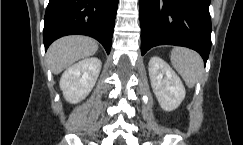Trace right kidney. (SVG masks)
<instances>
[{
    "instance_id": "ca27d5eb",
    "label": "right kidney",
    "mask_w": 243,
    "mask_h": 145,
    "mask_svg": "<svg viewBox=\"0 0 243 145\" xmlns=\"http://www.w3.org/2000/svg\"><path fill=\"white\" fill-rule=\"evenodd\" d=\"M101 67L97 57L83 59L68 67L60 79L66 101L75 104L85 99L94 87Z\"/></svg>"
}]
</instances>
